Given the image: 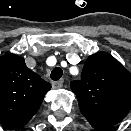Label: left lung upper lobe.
Here are the masks:
<instances>
[{"instance_id":"5c2ea615","label":"left lung upper lobe","mask_w":131,"mask_h":131,"mask_svg":"<svg viewBox=\"0 0 131 131\" xmlns=\"http://www.w3.org/2000/svg\"><path fill=\"white\" fill-rule=\"evenodd\" d=\"M81 113L98 130L123 120L131 109V74L109 53L89 56L81 80L70 83Z\"/></svg>"}]
</instances>
